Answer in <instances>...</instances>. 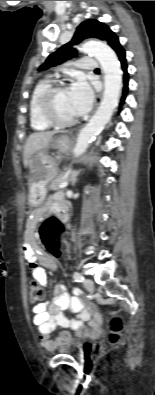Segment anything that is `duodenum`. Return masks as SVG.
<instances>
[{
    "instance_id": "duodenum-1",
    "label": "duodenum",
    "mask_w": 155,
    "mask_h": 395,
    "mask_svg": "<svg viewBox=\"0 0 155 395\" xmlns=\"http://www.w3.org/2000/svg\"><path fill=\"white\" fill-rule=\"evenodd\" d=\"M57 215L60 216V218H61V220L63 222H66V220H67V213H66V210L64 208H62Z\"/></svg>"
}]
</instances>
